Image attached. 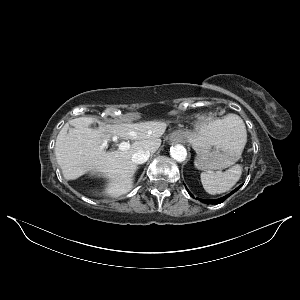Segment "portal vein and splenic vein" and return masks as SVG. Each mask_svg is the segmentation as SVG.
Returning a JSON list of instances; mask_svg holds the SVG:
<instances>
[{
	"mask_svg": "<svg viewBox=\"0 0 300 300\" xmlns=\"http://www.w3.org/2000/svg\"><path fill=\"white\" fill-rule=\"evenodd\" d=\"M130 148V144L128 142H121L119 144V149L120 150H128Z\"/></svg>",
	"mask_w": 300,
	"mask_h": 300,
	"instance_id": "portal-vein-and-splenic-vein-1",
	"label": "portal vein and splenic vein"
}]
</instances>
